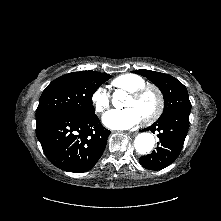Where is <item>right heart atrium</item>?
<instances>
[{
  "label": "right heart atrium",
  "instance_id": "obj_1",
  "mask_svg": "<svg viewBox=\"0 0 221 221\" xmlns=\"http://www.w3.org/2000/svg\"><path fill=\"white\" fill-rule=\"evenodd\" d=\"M92 105L96 113L105 112L110 106V97L106 89L99 87L92 95Z\"/></svg>",
  "mask_w": 221,
  "mask_h": 221
}]
</instances>
